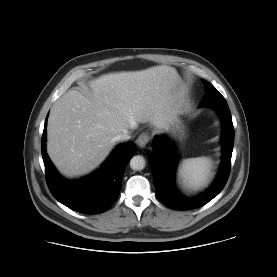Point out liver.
<instances>
[{"label":"liver","mask_w":277,"mask_h":277,"mask_svg":"<svg viewBox=\"0 0 277 277\" xmlns=\"http://www.w3.org/2000/svg\"><path fill=\"white\" fill-rule=\"evenodd\" d=\"M89 86L87 94L66 92L48 118L47 152L67 177L96 169L113 149L115 137L138 123L160 127L183 97L177 71L166 65L102 75Z\"/></svg>","instance_id":"obj_1"}]
</instances>
